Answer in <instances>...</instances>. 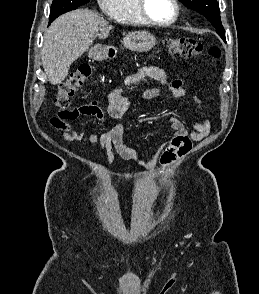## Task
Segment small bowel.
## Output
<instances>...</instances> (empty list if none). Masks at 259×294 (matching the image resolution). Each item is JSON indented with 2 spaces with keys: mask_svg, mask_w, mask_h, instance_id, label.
<instances>
[{
  "mask_svg": "<svg viewBox=\"0 0 259 294\" xmlns=\"http://www.w3.org/2000/svg\"><path fill=\"white\" fill-rule=\"evenodd\" d=\"M150 75L164 84L175 97H183L188 94L181 80L169 81L162 70L145 69L136 76L130 78L123 86L114 89L109 96L108 104L103 107L97 101H90L78 108H75L70 117H65L57 113L49 120V126L54 130L61 131V139L65 142H77L83 145L99 144L100 148L107 154V163L111 164L115 155H119L125 160H133L142 168L148 169L154 166L159 160L162 165H169L176 159L187 154L192 143L200 141L211 130L210 119L201 103V101L193 96V100L200 111L202 120L194 125L193 131L188 132L183 122L178 117L170 119L171 128L174 131L172 140L162 147L154 150L149 159H145L136 149L128 146L123 139L124 126L120 123L108 128L102 134L92 133L85 134L80 130H75L69 124L70 120L77 119L79 116H91L99 122L104 123L106 117L113 119L120 118L130 105L125 92L140 84L145 76ZM159 95L158 88H149L142 92L144 100H150Z\"/></svg>",
  "mask_w": 259,
  "mask_h": 294,
  "instance_id": "c3829d8e",
  "label": "small bowel"
}]
</instances>
